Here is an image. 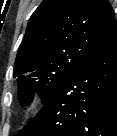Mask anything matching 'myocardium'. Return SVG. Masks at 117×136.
Masks as SVG:
<instances>
[{
	"mask_svg": "<svg viewBox=\"0 0 117 136\" xmlns=\"http://www.w3.org/2000/svg\"><path fill=\"white\" fill-rule=\"evenodd\" d=\"M42 106V99L40 97H33L26 105V113H35Z\"/></svg>",
	"mask_w": 117,
	"mask_h": 136,
	"instance_id": "myocardium-1",
	"label": "myocardium"
}]
</instances>
